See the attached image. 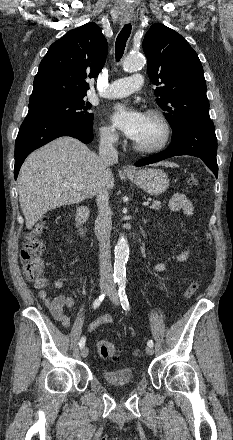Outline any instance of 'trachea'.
<instances>
[{"instance_id":"3493384b","label":"trachea","mask_w":233,"mask_h":440,"mask_svg":"<svg viewBox=\"0 0 233 440\" xmlns=\"http://www.w3.org/2000/svg\"><path fill=\"white\" fill-rule=\"evenodd\" d=\"M132 26L131 24H126L120 31V33L117 36L116 43H115V56L116 60L119 61L124 53L126 42L131 34Z\"/></svg>"}]
</instances>
